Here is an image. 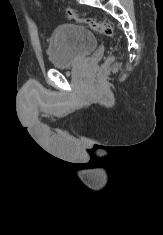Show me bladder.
Here are the masks:
<instances>
[{
	"label": "bladder",
	"mask_w": 163,
	"mask_h": 235,
	"mask_svg": "<svg viewBox=\"0 0 163 235\" xmlns=\"http://www.w3.org/2000/svg\"><path fill=\"white\" fill-rule=\"evenodd\" d=\"M97 45L96 36L88 27L75 23L59 25L49 40V60L55 68L72 67L91 54Z\"/></svg>",
	"instance_id": "bladder-1"
}]
</instances>
